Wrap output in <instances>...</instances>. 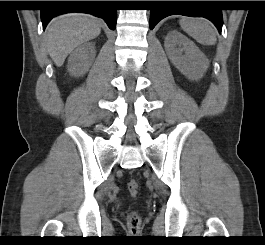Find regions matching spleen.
<instances>
[{
	"mask_svg": "<svg viewBox=\"0 0 265 245\" xmlns=\"http://www.w3.org/2000/svg\"><path fill=\"white\" fill-rule=\"evenodd\" d=\"M181 28L197 42L214 45L217 41L213 27L203 18L183 17L179 21Z\"/></svg>",
	"mask_w": 265,
	"mask_h": 245,
	"instance_id": "spleen-1",
	"label": "spleen"
}]
</instances>
